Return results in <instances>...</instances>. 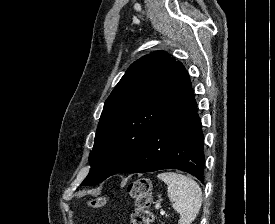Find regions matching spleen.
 Listing matches in <instances>:
<instances>
[{
	"instance_id": "3e777b00",
	"label": "spleen",
	"mask_w": 275,
	"mask_h": 224,
	"mask_svg": "<svg viewBox=\"0 0 275 224\" xmlns=\"http://www.w3.org/2000/svg\"><path fill=\"white\" fill-rule=\"evenodd\" d=\"M167 184V193L173 208L180 214L178 224H191L202 205L200 186L190 177L175 172L157 175Z\"/></svg>"
}]
</instances>
